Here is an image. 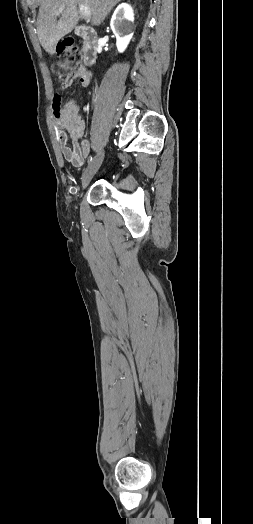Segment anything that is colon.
I'll return each mask as SVG.
<instances>
[{"instance_id": "colon-1", "label": "colon", "mask_w": 253, "mask_h": 524, "mask_svg": "<svg viewBox=\"0 0 253 524\" xmlns=\"http://www.w3.org/2000/svg\"><path fill=\"white\" fill-rule=\"evenodd\" d=\"M60 58L52 64V72L62 86H68L73 81H78L81 90H88L91 86L88 73L83 69L79 59L80 49L76 39L72 36L66 37L58 44ZM64 105L60 99L54 102L53 112L58 115Z\"/></svg>"}]
</instances>
